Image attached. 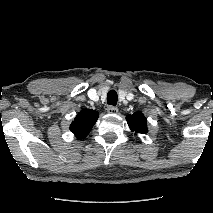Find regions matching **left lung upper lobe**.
<instances>
[{"mask_svg": "<svg viewBox=\"0 0 213 213\" xmlns=\"http://www.w3.org/2000/svg\"><path fill=\"white\" fill-rule=\"evenodd\" d=\"M128 125L132 131L136 133L145 134L147 133L146 118L141 112H136L133 115L126 117Z\"/></svg>", "mask_w": 213, "mask_h": 213, "instance_id": "obj_1", "label": "left lung upper lobe"}]
</instances>
